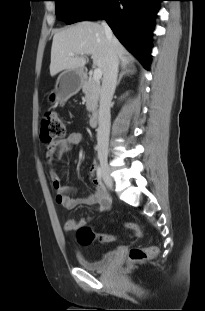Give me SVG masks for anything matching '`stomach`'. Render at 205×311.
<instances>
[{
    "label": "stomach",
    "mask_w": 205,
    "mask_h": 311,
    "mask_svg": "<svg viewBox=\"0 0 205 311\" xmlns=\"http://www.w3.org/2000/svg\"><path fill=\"white\" fill-rule=\"evenodd\" d=\"M83 82L82 70H65L57 78L54 90L50 93L48 103L63 104L71 96L77 94Z\"/></svg>",
    "instance_id": "stomach-1"
}]
</instances>
